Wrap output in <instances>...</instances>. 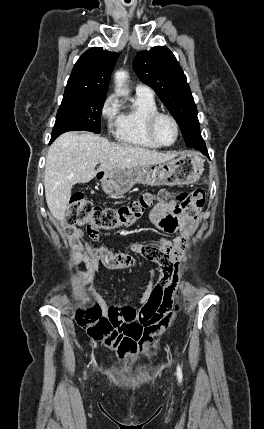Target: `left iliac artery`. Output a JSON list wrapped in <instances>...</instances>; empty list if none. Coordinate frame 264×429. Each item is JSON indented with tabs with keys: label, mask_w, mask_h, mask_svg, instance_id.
<instances>
[{
	"label": "left iliac artery",
	"mask_w": 264,
	"mask_h": 429,
	"mask_svg": "<svg viewBox=\"0 0 264 429\" xmlns=\"http://www.w3.org/2000/svg\"><path fill=\"white\" fill-rule=\"evenodd\" d=\"M177 378H178L179 382L182 381V370H181V367L179 365L177 366Z\"/></svg>",
	"instance_id": "44dca946"
}]
</instances>
